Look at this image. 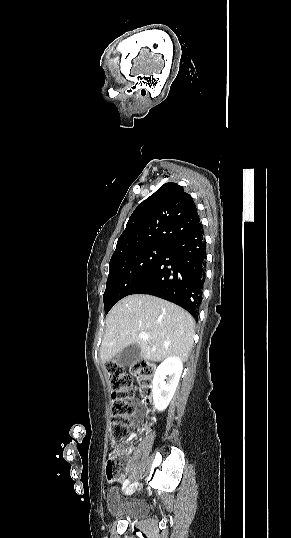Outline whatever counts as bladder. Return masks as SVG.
Wrapping results in <instances>:
<instances>
[{
    "mask_svg": "<svg viewBox=\"0 0 291 538\" xmlns=\"http://www.w3.org/2000/svg\"><path fill=\"white\" fill-rule=\"evenodd\" d=\"M108 507L113 517L118 519H135L147 513L148 505L126 493L120 494L117 487L108 493Z\"/></svg>",
    "mask_w": 291,
    "mask_h": 538,
    "instance_id": "31cf9c89",
    "label": "bladder"
}]
</instances>
